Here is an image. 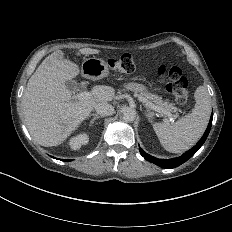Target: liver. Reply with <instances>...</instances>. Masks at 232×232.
Returning <instances> with one entry per match:
<instances>
[{
  "label": "liver",
  "instance_id": "1",
  "mask_svg": "<svg viewBox=\"0 0 232 232\" xmlns=\"http://www.w3.org/2000/svg\"><path fill=\"white\" fill-rule=\"evenodd\" d=\"M101 51L84 47L79 53L85 56ZM82 73L79 65L64 56L60 49L52 51L29 78L22 108L32 138L45 147L59 146L78 130L98 103H110L116 91L107 85L90 89L91 97L71 101L66 82Z\"/></svg>",
  "mask_w": 232,
  "mask_h": 232
}]
</instances>
